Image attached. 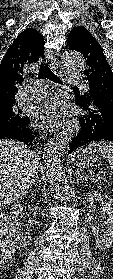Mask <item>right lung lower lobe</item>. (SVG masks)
I'll list each match as a JSON object with an SVG mask.
<instances>
[{
    "mask_svg": "<svg viewBox=\"0 0 113 279\" xmlns=\"http://www.w3.org/2000/svg\"><path fill=\"white\" fill-rule=\"evenodd\" d=\"M37 136L38 132L29 127L28 117H26L25 121L18 125H10L2 128L0 127V139H16L28 144L29 146H32Z\"/></svg>",
    "mask_w": 113,
    "mask_h": 279,
    "instance_id": "98d812e1",
    "label": "right lung lower lobe"
}]
</instances>
